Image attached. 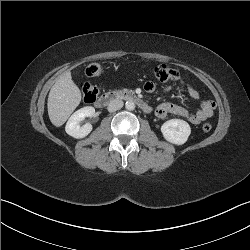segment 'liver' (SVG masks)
I'll list each match as a JSON object with an SVG mask.
<instances>
[{
    "instance_id": "obj_1",
    "label": "liver",
    "mask_w": 250,
    "mask_h": 250,
    "mask_svg": "<svg viewBox=\"0 0 250 250\" xmlns=\"http://www.w3.org/2000/svg\"><path fill=\"white\" fill-rule=\"evenodd\" d=\"M81 102V91L69 71L60 75L48 95V115L52 124L62 126Z\"/></svg>"
}]
</instances>
